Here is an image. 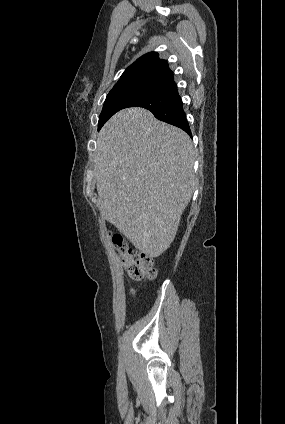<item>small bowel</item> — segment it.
Wrapping results in <instances>:
<instances>
[{"label":"small bowel","instance_id":"obj_1","mask_svg":"<svg viewBox=\"0 0 285 424\" xmlns=\"http://www.w3.org/2000/svg\"><path fill=\"white\" fill-rule=\"evenodd\" d=\"M130 294L131 295H134V290L133 289L130 290Z\"/></svg>","mask_w":285,"mask_h":424}]
</instances>
